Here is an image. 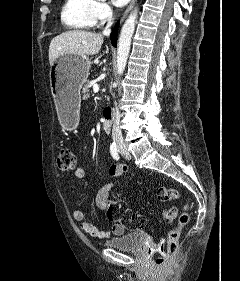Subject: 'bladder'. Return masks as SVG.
Instances as JSON below:
<instances>
[{"instance_id": "bladder-1", "label": "bladder", "mask_w": 240, "mask_h": 281, "mask_svg": "<svg viewBox=\"0 0 240 281\" xmlns=\"http://www.w3.org/2000/svg\"><path fill=\"white\" fill-rule=\"evenodd\" d=\"M146 234L141 231L122 234L105 242V245L114 249L140 252L143 248Z\"/></svg>"}]
</instances>
